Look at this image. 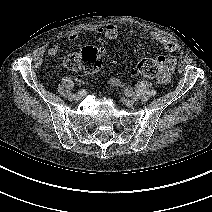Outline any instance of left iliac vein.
Masks as SVG:
<instances>
[{
    "label": "left iliac vein",
    "mask_w": 212,
    "mask_h": 212,
    "mask_svg": "<svg viewBox=\"0 0 212 212\" xmlns=\"http://www.w3.org/2000/svg\"><path fill=\"white\" fill-rule=\"evenodd\" d=\"M122 101L129 108L133 107L135 104V99L133 98H123Z\"/></svg>",
    "instance_id": "left-iliac-vein-1"
}]
</instances>
